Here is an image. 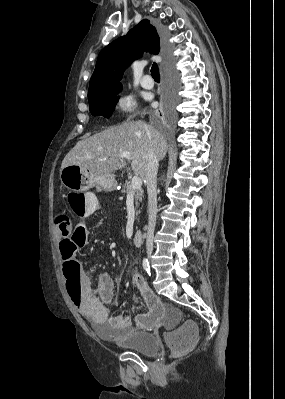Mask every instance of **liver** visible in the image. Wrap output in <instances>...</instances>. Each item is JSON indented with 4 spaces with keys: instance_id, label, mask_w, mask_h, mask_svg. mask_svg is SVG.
Segmentation results:
<instances>
[{
    "instance_id": "6515ba94",
    "label": "liver",
    "mask_w": 285,
    "mask_h": 399,
    "mask_svg": "<svg viewBox=\"0 0 285 399\" xmlns=\"http://www.w3.org/2000/svg\"><path fill=\"white\" fill-rule=\"evenodd\" d=\"M150 148L162 160L168 148L164 136L142 121H130L79 141L65 156L61 169L77 165L92 177L112 175L126 166L120 152H128L133 172L145 181Z\"/></svg>"
}]
</instances>
